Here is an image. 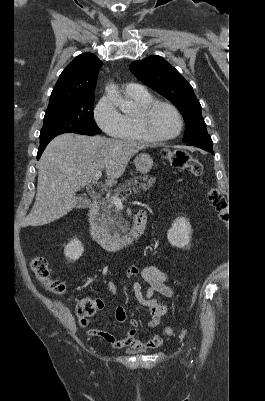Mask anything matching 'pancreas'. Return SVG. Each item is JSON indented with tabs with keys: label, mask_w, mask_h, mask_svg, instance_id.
Wrapping results in <instances>:
<instances>
[{
	"label": "pancreas",
	"mask_w": 265,
	"mask_h": 401,
	"mask_svg": "<svg viewBox=\"0 0 265 401\" xmlns=\"http://www.w3.org/2000/svg\"><path fill=\"white\" fill-rule=\"evenodd\" d=\"M143 180V182H139ZM155 182V176H149V174H142V176H134L131 180H125L119 186H116L113 190L112 196H122L121 192H127V190H133L137 192L138 188L142 190H147L150 186H153ZM129 186V188H127ZM131 192H127L126 196H129ZM102 215L100 221H102L105 229L108 233H113V237H121V233H126L128 225H123L126 223L121 217L120 211H117L114 203H112V198H105V201L101 203Z\"/></svg>",
	"instance_id": "obj_1"
}]
</instances>
